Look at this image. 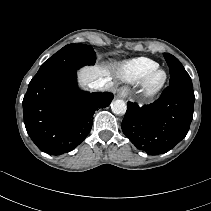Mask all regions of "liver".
Here are the masks:
<instances>
[{"label":"liver","instance_id":"liver-1","mask_svg":"<svg viewBox=\"0 0 211 211\" xmlns=\"http://www.w3.org/2000/svg\"><path fill=\"white\" fill-rule=\"evenodd\" d=\"M104 78L107 82L105 88L109 90L113 86L109 69L102 66L84 67L79 71V81L82 85H88L93 81Z\"/></svg>","mask_w":211,"mask_h":211}]
</instances>
